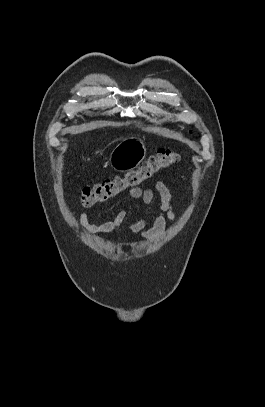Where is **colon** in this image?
Returning <instances> with one entry per match:
<instances>
[{
	"label": "colon",
	"instance_id": "obj_1",
	"mask_svg": "<svg viewBox=\"0 0 265 407\" xmlns=\"http://www.w3.org/2000/svg\"><path fill=\"white\" fill-rule=\"evenodd\" d=\"M180 159V155L176 151L160 149L154 156L142 161L136 169L128 171L123 176H114L83 187L81 189V204L85 207H92L96 204L105 203L124 191L152 179L160 171L177 164Z\"/></svg>",
	"mask_w": 265,
	"mask_h": 407
}]
</instances>
